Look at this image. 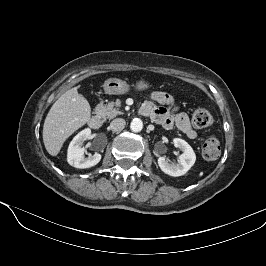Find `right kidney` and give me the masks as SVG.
<instances>
[{
  "label": "right kidney",
  "instance_id": "1",
  "mask_svg": "<svg viewBox=\"0 0 266 266\" xmlns=\"http://www.w3.org/2000/svg\"><path fill=\"white\" fill-rule=\"evenodd\" d=\"M91 130L86 128L80 131L70 142L67 152L68 163L75 168H89L98 164L101 160V155L95 153L94 155H89L87 158L84 157V148L82 145L85 140L89 138Z\"/></svg>",
  "mask_w": 266,
  "mask_h": 266
}]
</instances>
